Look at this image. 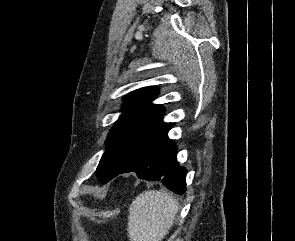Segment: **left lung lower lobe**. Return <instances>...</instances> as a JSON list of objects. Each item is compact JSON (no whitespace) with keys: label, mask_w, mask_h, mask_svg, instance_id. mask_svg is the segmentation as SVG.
<instances>
[{"label":"left lung lower lobe","mask_w":295,"mask_h":241,"mask_svg":"<svg viewBox=\"0 0 295 241\" xmlns=\"http://www.w3.org/2000/svg\"><path fill=\"white\" fill-rule=\"evenodd\" d=\"M176 153L174 142L165 134L127 163L113 178L118 174L135 172L138 178L160 181L168 189L181 195L186 191V170L178 165ZM107 182L108 180L102 183Z\"/></svg>","instance_id":"0a47b994"}]
</instances>
